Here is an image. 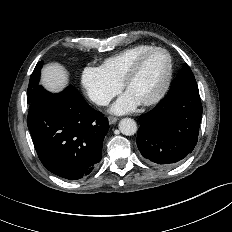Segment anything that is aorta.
I'll use <instances>...</instances> for the list:
<instances>
[{
  "instance_id": "aorta-1",
  "label": "aorta",
  "mask_w": 232,
  "mask_h": 232,
  "mask_svg": "<svg viewBox=\"0 0 232 232\" xmlns=\"http://www.w3.org/2000/svg\"><path fill=\"white\" fill-rule=\"evenodd\" d=\"M119 130L122 134L131 136L137 131V124L131 118H124L119 122Z\"/></svg>"
}]
</instances>
